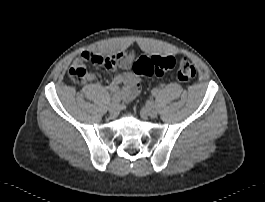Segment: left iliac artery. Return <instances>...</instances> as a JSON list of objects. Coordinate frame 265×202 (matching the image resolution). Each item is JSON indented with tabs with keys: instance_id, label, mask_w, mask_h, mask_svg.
I'll return each mask as SVG.
<instances>
[{
	"instance_id": "obj_1",
	"label": "left iliac artery",
	"mask_w": 265,
	"mask_h": 202,
	"mask_svg": "<svg viewBox=\"0 0 265 202\" xmlns=\"http://www.w3.org/2000/svg\"><path fill=\"white\" fill-rule=\"evenodd\" d=\"M152 95L156 96L157 95V91L156 90H152Z\"/></svg>"
}]
</instances>
